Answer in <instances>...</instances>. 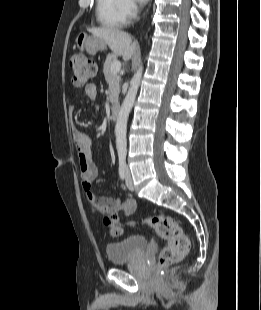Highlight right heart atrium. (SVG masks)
Here are the masks:
<instances>
[{
    "label": "right heart atrium",
    "instance_id": "right-heart-atrium-1",
    "mask_svg": "<svg viewBox=\"0 0 261 310\" xmlns=\"http://www.w3.org/2000/svg\"><path fill=\"white\" fill-rule=\"evenodd\" d=\"M120 11L127 23L137 15L138 6L135 0H120Z\"/></svg>",
    "mask_w": 261,
    "mask_h": 310
}]
</instances>
